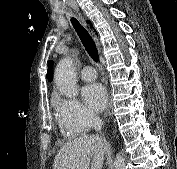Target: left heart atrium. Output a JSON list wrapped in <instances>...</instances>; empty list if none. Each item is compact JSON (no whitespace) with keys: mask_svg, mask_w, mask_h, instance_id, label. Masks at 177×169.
<instances>
[{"mask_svg":"<svg viewBox=\"0 0 177 169\" xmlns=\"http://www.w3.org/2000/svg\"><path fill=\"white\" fill-rule=\"evenodd\" d=\"M82 96L88 108L93 112H101L107 105V91L100 83H91L83 87Z\"/></svg>","mask_w":177,"mask_h":169,"instance_id":"1","label":"left heart atrium"}]
</instances>
